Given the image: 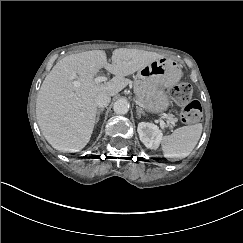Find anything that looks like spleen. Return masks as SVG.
<instances>
[{"label": "spleen", "instance_id": "1", "mask_svg": "<svg viewBox=\"0 0 243 243\" xmlns=\"http://www.w3.org/2000/svg\"><path fill=\"white\" fill-rule=\"evenodd\" d=\"M203 126L201 123L183 126L176 129L171 135L164 136L161 141L164 156L186 157L197 145Z\"/></svg>", "mask_w": 243, "mask_h": 243}]
</instances>
